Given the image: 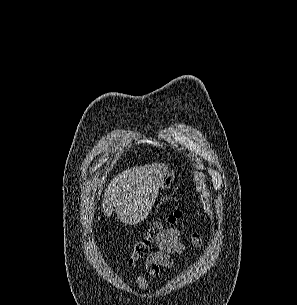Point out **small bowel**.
<instances>
[{
  "label": "small bowel",
  "instance_id": "small-bowel-1",
  "mask_svg": "<svg viewBox=\"0 0 297 305\" xmlns=\"http://www.w3.org/2000/svg\"><path fill=\"white\" fill-rule=\"evenodd\" d=\"M183 232L179 228L170 227L160 231L157 235V250L149 255L145 260V267L150 277H158L166 268L174 265L172 254L182 253L186 250V244L182 240ZM192 242L200 245L201 239L199 235L192 236ZM138 287L148 290L149 279L146 277H138L136 279Z\"/></svg>",
  "mask_w": 297,
  "mask_h": 305
}]
</instances>
